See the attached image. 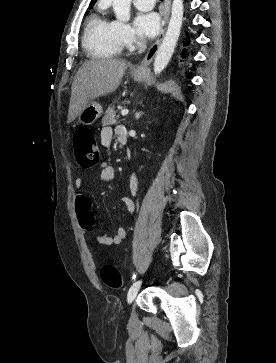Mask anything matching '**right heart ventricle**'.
Segmentation results:
<instances>
[{"label":"right heart ventricle","mask_w":276,"mask_h":363,"mask_svg":"<svg viewBox=\"0 0 276 363\" xmlns=\"http://www.w3.org/2000/svg\"><path fill=\"white\" fill-rule=\"evenodd\" d=\"M83 46L94 58H111L121 52L123 43L115 22L94 14L86 25Z\"/></svg>","instance_id":"obj_1"}]
</instances>
